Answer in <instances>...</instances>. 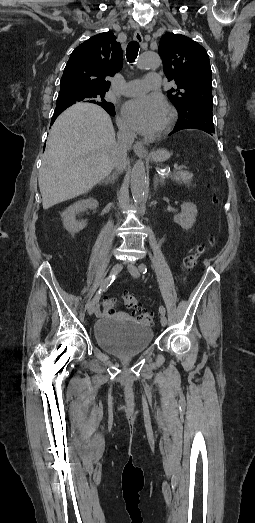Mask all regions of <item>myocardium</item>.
<instances>
[{
    "mask_svg": "<svg viewBox=\"0 0 255 523\" xmlns=\"http://www.w3.org/2000/svg\"><path fill=\"white\" fill-rule=\"evenodd\" d=\"M165 106L167 107V109L170 112V120H169L168 126L163 133H161L160 135L151 137V138H149V140H156V139L162 138L164 136H167L173 130V128L176 124V121L178 118L177 110L169 103H165Z\"/></svg>",
    "mask_w": 255,
    "mask_h": 523,
    "instance_id": "f54148a6",
    "label": "myocardium"
}]
</instances>
